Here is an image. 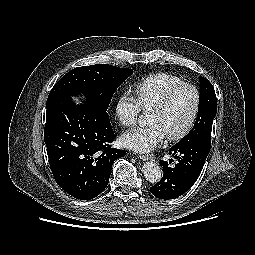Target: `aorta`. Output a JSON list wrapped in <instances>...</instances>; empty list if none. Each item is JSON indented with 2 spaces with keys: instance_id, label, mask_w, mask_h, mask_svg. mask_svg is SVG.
Instances as JSON below:
<instances>
[{
  "instance_id": "aorta-1",
  "label": "aorta",
  "mask_w": 255,
  "mask_h": 255,
  "mask_svg": "<svg viewBox=\"0 0 255 255\" xmlns=\"http://www.w3.org/2000/svg\"><path fill=\"white\" fill-rule=\"evenodd\" d=\"M139 124L144 125L143 118L139 119ZM142 172L146 180L149 181L150 183L159 182L163 176L160 166L151 161L144 163L142 167Z\"/></svg>"
}]
</instances>
